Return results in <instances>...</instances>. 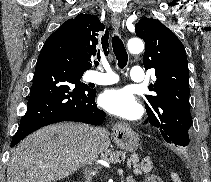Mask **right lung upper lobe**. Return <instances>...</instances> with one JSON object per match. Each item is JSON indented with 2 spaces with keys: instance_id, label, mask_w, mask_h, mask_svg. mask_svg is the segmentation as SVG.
Wrapping results in <instances>:
<instances>
[{
  "instance_id": "cb5924a9",
  "label": "right lung upper lobe",
  "mask_w": 211,
  "mask_h": 182,
  "mask_svg": "<svg viewBox=\"0 0 211 182\" xmlns=\"http://www.w3.org/2000/svg\"><path fill=\"white\" fill-rule=\"evenodd\" d=\"M61 27H64L67 33L71 34L78 45V52L83 67L88 70L91 68L92 58L97 50L96 45L99 41V33L105 26L100 20L90 14H79L73 19L67 20ZM108 31L101 38V45L105 55H108Z\"/></svg>"
}]
</instances>
